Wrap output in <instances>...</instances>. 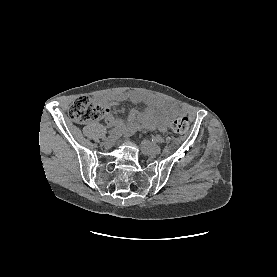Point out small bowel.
Segmentation results:
<instances>
[{"label":"small bowel","instance_id":"small-bowel-1","mask_svg":"<svg viewBox=\"0 0 277 277\" xmlns=\"http://www.w3.org/2000/svg\"><path fill=\"white\" fill-rule=\"evenodd\" d=\"M124 100L134 102L144 101L148 104V107L143 111L138 109H132L130 111L128 120L131 129L138 128L142 125L149 129L157 128L164 130L168 126L170 113L174 111L173 106L169 102L154 96L141 95L133 91L112 93L99 98V101L107 107V114L104 120L108 126H124L123 120L113 116L109 111L110 106H114Z\"/></svg>","mask_w":277,"mask_h":277}]
</instances>
